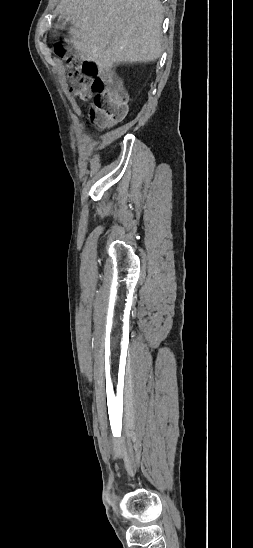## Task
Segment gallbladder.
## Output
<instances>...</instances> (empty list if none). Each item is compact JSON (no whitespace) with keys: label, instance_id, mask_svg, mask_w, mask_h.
<instances>
[{"label":"gallbladder","instance_id":"bac80fb5","mask_svg":"<svg viewBox=\"0 0 253 548\" xmlns=\"http://www.w3.org/2000/svg\"><path fill=\"white\" fill-rule=\"evenodd\" d=\"M67 21H68L67 17H65V16L62 17V16H60V18H59V24H60V25H61V24H65Z\"/></svg>","mask_w":253,"mask_h":548}]
</instances>
